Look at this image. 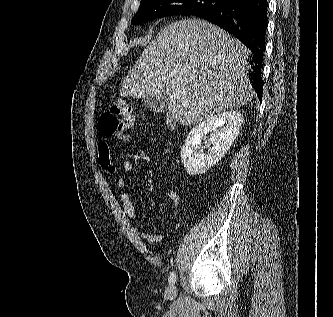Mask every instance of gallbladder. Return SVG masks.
Instances as JSON below:
<instances>
[{"label":"gallbladder","mask_w":333,"mask_h":317,"mask_svg":"<svg viewBox=\"0 0 333 317\" xmlns=\"http://www.w3.org/2000/svg\"><path fill=\"white\" fill-rule=\"evenodd\" d=\"M144 105L150 112L160 113L166 109L168 98L166 96H154L143 99Z\"/></svg>","instance_id":"obj_1"}]
</instances>
